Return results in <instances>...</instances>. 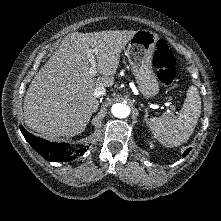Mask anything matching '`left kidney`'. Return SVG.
<instances>
[{
	"mask_svg": "<svg viewBox=\"0 0 221 221\" xmlns=\"http://www.w3.org/2000/svg\"><path fill=\"white\" fill-rule=\"evenodd\" d=\"M153 146H154V145H153L152 143H150V147L153 148Z\"/></svg>",
	"mask_w": 221,
	"mask_h": 221,
	"instance_id": "5707ae66",
	"label": "left kidney"
}]
</instances>
